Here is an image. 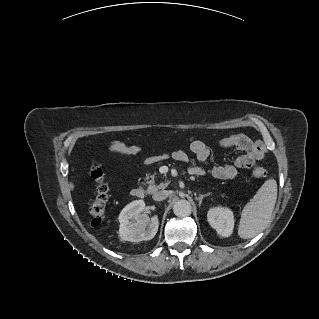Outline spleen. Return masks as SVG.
<instances>
[{"label": "spleen", "mask_w": 319, "mask_h": 319, "mask_svg": "<svg viewBox=\"0 0 319 319\" xmlns=\"http://www.w3.org/2000/svg\"><path fill=\"white\" fill-rule=\"evenodd\" d=\"M276 200L277 182L275 179H269L242 210L238 226L240 238H253L265 229L270 222Z\"/></svg>", "instance_id": "1"}]
</instances>
